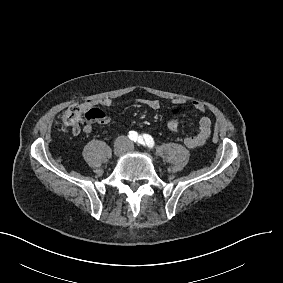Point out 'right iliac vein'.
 <instances>
[{"label":"right iliac vein","mask_w":283,"mask_h":283,"mask_svg":"<svg viewBox=\"0 0 283 283\" xmlns=\"http://www.w3.org/2000/svg\"><path fill=\"white\" fill-rule=\"evenodd\" d=\"M126 150H127V144L126 143L118 142V143L115 144L114 153L117 156L123 155Z\"/></svg>","instance_id":"right-iliac-vein-1"}]
</instances>
